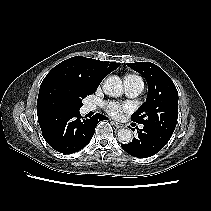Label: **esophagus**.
<instances>
[{"label": "esophagus", "mask_w": 211, "mask_h": 211, "mask_svg": "<svg viewBox=\"0 0 211 211\" xmlns=\"http://www.w3.org/2000/svg\"><path fill=\"white\" fill-rule=\"evenodd\" d=\"M112 124L116 127V128H123L124 125L122 123L116 122V121H112Z\"/></svg>", "instance_id": "obj_1"}]
</instances>
